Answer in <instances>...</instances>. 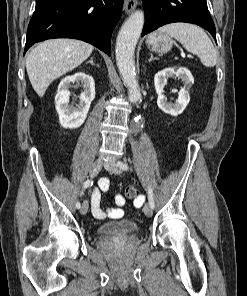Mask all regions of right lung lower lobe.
I'll return each instance as SVG.
<instances>
[{
	"instance_id": "right-lung-lower-lobe-1",
	"label": "right lung lower lobe",
	"mask_w": 247,
	"mask_h": 296,
	"mask_svg": "<svg viewBox=\"0 0 247 296\" xmlns=\"http://www.w3.org/2000/svg\"><path fill=\"white\" fill-rule=\"evenodd\" d=\"M123 0H36L25 52L52 38L86 41L111 55V34L122 14Z\"/></svg>"
}]
</instances>
